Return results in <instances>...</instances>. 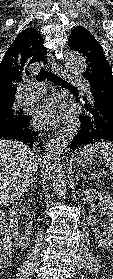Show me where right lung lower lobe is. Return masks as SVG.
<instances>
[{
    "mask_svg": "<svg viewBox=\"0 0 113 279\" xmlns=\"http://www.w3.org/2000/svg\"><path fill=\"white\" fill-rule=\"evenodd\" d=\"M30 116L18 124H11L0 127V139H14L32 147L38 137V132L29 127Z\"/></svg>",
    "mask_w": 113,
    "mask_h": 279,
    "instance_id": "1",
    "label": "right lung lower lobe"
}]
</instances>
